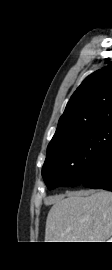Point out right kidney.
<instances>
[{"mask_svg": "<svg viewBox=\"0 0 112 270\" xmlns=\"http://www.w3.org/2000/svg\"><path fill=\"white\" fill-rule=\"evenodd\" d=\"M108 242H112V238Z\"/></svg>", "mask_w": 112, "mask_h": 270, "instance_id": "1", "label": "right kidney"}]
</instances>
